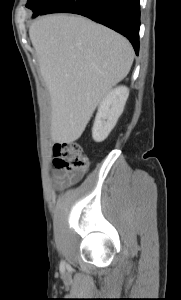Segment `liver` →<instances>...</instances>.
<instances>
[{
    "label": "liver",
    "mask_w": 181,
    "mask_h": 300,
    "mask_svg": "<svg viewBox=\"0 0 181 300\" xmlns=\"http://www.w3.org/2000/svg\"><path fill=\"white\" fill-rule=\"evenodd\" d=\"M29 36L51 97V138L72 143L129 73L133 48L119 33L74 15L42 17L31 24Z\"/></svg>",
    "instance_id": "obj_1"
}]
</instances>
